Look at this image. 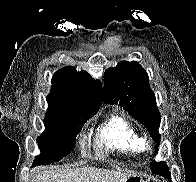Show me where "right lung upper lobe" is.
Instances as JSON below:
<instances>
[{
	"mask_svg": "<svg viewBox=\"0 0 196 182\" xmlns=\"http://www.w3.org/2000/svg\"><path fill=\"white\" fill-rule=\"evenodd\" d=\"M102 100V86L85 72L74 67L58 70L52 78V88L47 96V112H67L82 116L96 114Z\"/></svg>",
	"mask_w": 196,
	"mask_h": 182,
	"instance_id": "obj_1",
	"label": "right lung upper lobe"
}]
</instances>
